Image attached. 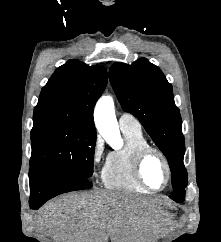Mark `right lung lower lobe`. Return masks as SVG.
Listing matches in <instances>:
<instances>
[{
	"label": "right lung lower lobe",
	"instance_id": "1",
	"mask_svg": "<svg viewBox=\"0 0 221 242\" xmlns=\"http://www.w3.org/2000/svg\"><path fill=\"white\" fill-rule=\"evenodd\" d=\"M30 208L37 210L49 199L70 191L89 189L87 178L62 173H29Z\"/></svg>",
	"mask_w": 221,
	"mask_h": 242
}]
</instances>
